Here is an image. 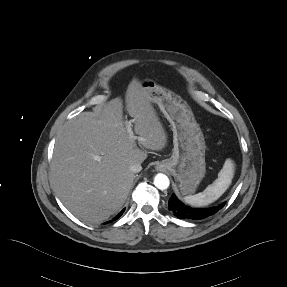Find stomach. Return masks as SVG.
<instances>
[{"label":"stomach","instance_id":"0dacf381","mask_svg":"<svg viewBox=\"0 0 287 287\" xmlns=\"http://www.w3.org/2000/svg\"><path fill=\"white\" fill-rule=\"evenodd\" d=\"M150 102L156 103L170 122L173 131V154L158 167L168 170L175 178L182 195L196 191L205 176V140L194 114L180 96L159 86L151 79L139 82Z\"/></svg>","mask_w":287,"mask_h":287}]
</instances>
